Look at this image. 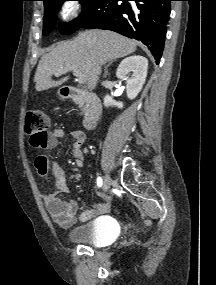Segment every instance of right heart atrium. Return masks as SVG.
Listing matches in <instances>:
<instances>
[{"label": "right heart atrium", "mask_w": 216, "mask_h": 285, "mask_svg": "<svg viewBox=\"0 0 216 285\" xmlns=\"http://www.w3.org/2000/svg\"><path fill=\"white\" fill-rule=\"evenodd\" d=\"M61 17L65 21H71L79 14V7L75 3H66L61 9Z\"/></svg>", "instance_id": "right-heart-atrium-1"}]
</instances>
